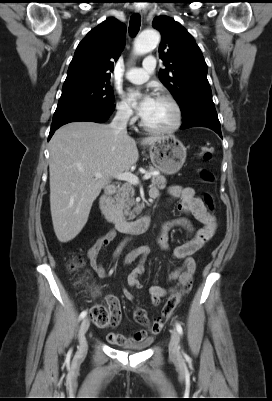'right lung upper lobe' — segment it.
Segmentation results:
<instances>
[{"label": "right lung upper lobe", "mask_w": 272, "mask_h": 401, "mask_svg": "<svg viewBox=\"0 0 272 401\" xmlns=\"http://www.w3.org/2000/svg\"><path fill=\"white\" fill-rule=\"evenodd\" d=\"M125 37V25L113 17L92 29L75 51L62 90L109 81L113 60L123 51Z\"/></svg>", "instance_id": "right-lung-upper-lobe-1"}]
</instances>
